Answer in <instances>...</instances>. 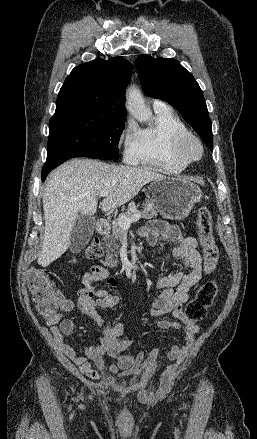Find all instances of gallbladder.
<instances>
[{"instance_id": "bac80fb5", "label": "gallbladder", "mask_w": 257, "mask_h": 439, "mask_svg": "<svg viewBox=\"0 0 257 439\" xmlns=\"http://www.w3.org/2000/svg\"><path fill=\"white\" fill-rule=\"evenodd\" d=\"M95 220L92 216L79 215L71 232L69 249L80 252L88 244L94 231Z\"/></svg>"}]
</instances>
